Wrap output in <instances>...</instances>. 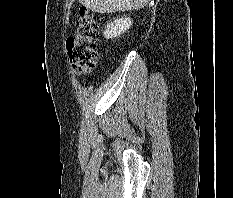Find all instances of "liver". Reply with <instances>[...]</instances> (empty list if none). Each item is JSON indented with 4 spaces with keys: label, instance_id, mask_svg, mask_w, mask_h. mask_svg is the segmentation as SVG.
I'll list each match as a JSON object with an SVG mask.
<instances>
[{
    "label": "liver",
    "instance_id": "liver-1",
    "mask_svg": "<svg viewBox=\"0 0 233 198\" xmlns=\"http://www.w3.org/2000/svg\"><path fill=\"white\" fill-rule=\"evenodd\" d=\"M87 9L98 13H112L144 8L150 0H78Z\"/></svg>",
    "mask_w": 233,
    "mask_h": 198
}]
</instances>
